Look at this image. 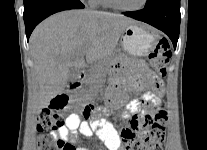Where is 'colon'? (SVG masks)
<instances>
[{"label":"colon","instance_id":"1","mask_svg":"<svg viewBox=\"0 0 207 150\" xmlns=\"http://www.w3.org/2000/svg\"><path fill=\"white\" fill-rule=\"evenodd\" d=\"M170 54L168 41L161 39L148 56L151 68L156 74L166 75ZM149 82L150 86L146 87L145 95L141 100L142 111H155V107H159L160 104V99H154V96H156V87H161V79L160 77H149ZM64 105H71V100H67L65 95H60L52 100L50 109L43 110L39 114L37 130L40 133L55 130L64 125L65 115L62 112ZM88 114L89 112L86 111V115ZM145 117L148 119L150 116L147 114ZM167 119V112L161 105L155 115L150 118V127L147 130L136 133L139 122L133 120L132 127L125 128L121 132L122 150H162L166 138ZM39 150H74V146L42 135Z\"/></svg>","mask_w":207,"mask_h":150}]
</instances>
